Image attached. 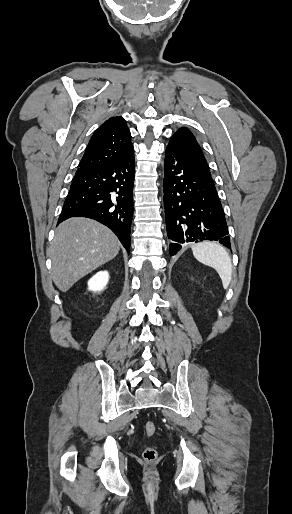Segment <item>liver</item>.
<instances>
[{"label":"liver","mask_w":292,"mask_h":514,"mask_svg":"<svg viewBox=\"0 0 292 514\" xmlns=\"http://www.w3.org/2000/svg\"><path fill=\"white\" fill-rule=\"evenodd\" d=\"M120 246L115 234L95 220L70 218L62 222L48 250L54 284L67 292L86 274L113 260Z\"/></svg>","instance_id":"1"}]
</instances>
